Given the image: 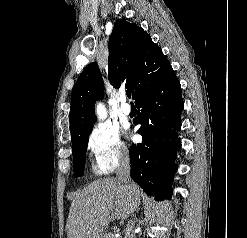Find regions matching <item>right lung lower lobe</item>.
Instances as JSON below:
<instances>
[{"instance_id":"98d812e1","label":"right lung lower lobe","mask_w":247,"mask_h":238,"mask_svg":"<svg viewBox=\"0 0 247 238\" xmlns=\"http://www.w3.org/2000/svg\"><path fill=\"white\" fill-rule=\"evenodd\" d=\"M135 105L141 109L134 124H141L137 133L142 135V143L129 149L131 177L147 195L170 197L184 108L180 82L172 67L135 100Z\"/></svg>"}]
</instances>
